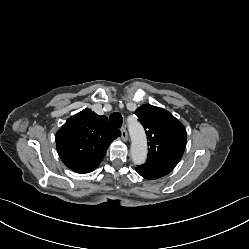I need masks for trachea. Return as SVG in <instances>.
Listing matches in <instances>:
<instances>
[{
	"label": "trachea",
	"instance_id": "1",
	"mask_svg": "<svg viewBox=\"0 0 249 249\" xmlns=\"http://www.w3.org/2000/svg\"><path fill=\"white\" fill-rule=\"evenodd\" d=\"M109 121L114 127L120 128L122 126L123 118L120 113L115 112L110 115Z\"/></svg>",
	"mask_w": 249,
	"mask_h": 249
}]
</instances>
